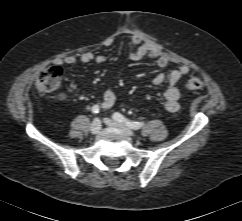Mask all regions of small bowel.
<instances>
[{
	"label": "small bowel",
	"mask_w": 242,
	"mask_h": 221,
	"mask_svg": "<svg viewBox=\"0 0 242 221\" xmlns=\"http://www.w3.org/2000/svg\"><path fill=\"white\" fill-rule=\"evenodd\" d=\"M129 57L133 61H139L146 57L152 59L159 68H166L169 64V59L158 49H156L147 38L141 33H135L130 41ZM75 56H66L55 60V64L60 65H73L77 62ZM105 57L102 55H95L92 52H85L80 56V61L84 64H103ZM189 68L186 65H179L169 73L160 72L152 80L154 85H161L164 82L169 83V87L164 93L165 108L170 113H176L180 109L179 99L180 91L176 84L180 79L188 74ZM116 101L115 92L108 88L103 92L101 107L103 109H110Z\"/></svg>",
	"instance_id": "c3829d8e"
}]
</instances>
